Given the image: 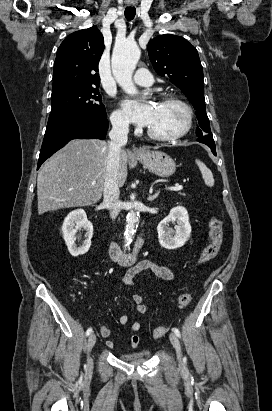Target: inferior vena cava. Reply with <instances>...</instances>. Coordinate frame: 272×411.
Listing matches in <instances>:
<instances>
[{
	"mask_svg": "<svg viewBox=\"0 0 272 411\" xmlns=\"http://www.w3.org/2000/svg\"><path fill=\"white\" fill-rule=\"evenodd\" d=\"M110 120L112 129L109 132V157L104 181L103 203L109 209L112 220H115L121 211L118 172L121 148L128 140L129 124L121 117H111Z\"/></svg>",
	"mask_w": 272,
	"mask_h": 411,
	"instance_id": "602c4592",
	"label": "inferior vena cava"
}]
</instances>
